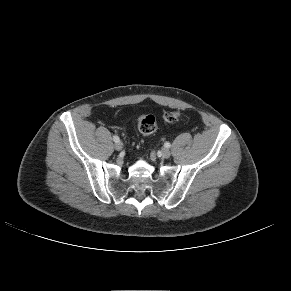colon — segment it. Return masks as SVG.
<instances>
[{
  "mask_svg": "<svg viewBox=\"0 0 291 291\" xmlns=\"http://www.w3.org/2000/svg\"><path fill=\"white\" fill-rule=\"evenodd\" d=\"M179 118V112L166 111L163 114V122L166 124L173 123ZM139 131L142 135H151L156 129V120L152 115H143L139 118Z\"/></svg>",
  "mask_w": 291,
  "mask_h": 291,
  "instance_id": "5ec220e1",
  "label": "colon"
}]
</instances>
